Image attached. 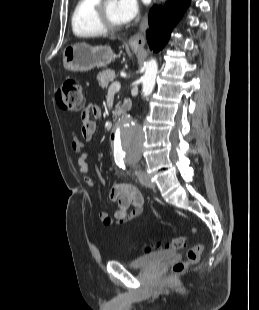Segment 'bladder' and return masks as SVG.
I'll use <instances>...</instances> for the list:
<instances>
[{
    "label": "bladder",
    "mask_w": 259,
    "mask_h": 310,
    "mask_svg": "<svg viewBox=\"0 0 259 310\" xmlns=\"http://www.w3.org/2000/svg\"><path fill=\"white\" fill-rule=\"evenodd\" d=\"M175 255L176 252L174 251L150 252L128 262L127 266L133 269L148 268L162 261L172 259Z\"/></svg>",
    "instance_id": "31cf9c89"
}]
</instances>
